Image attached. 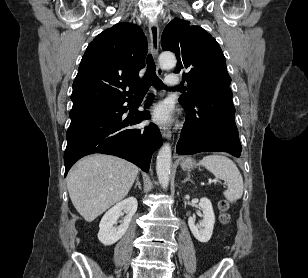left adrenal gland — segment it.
Wrapping results in <instances>:
<instances>
[{
    "instance_id": "a2214340",
    "label": "left adrenal gland",
    "mask_w": 308,
    "mask_h": 278,
    "mask_svg": "<svg viewBox=\"0 0 308 278\" xmlns=\"http://www.w3.org/2000/svg\"><path fill=\"white\" fill-rule=\"evenodd\" d=\"M187 181L193 183V181L190 179V174H187V177L182 181V183H186Z\"/></svg>"
}]
</instances>
